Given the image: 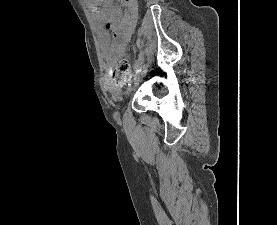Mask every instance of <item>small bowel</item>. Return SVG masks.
Wrapping results in <instances>:
<instances>
[{"label":"small bowel","mask_w":277,"mask_h":225,"mask_svg":"<svg viewBox=\"0 0 277 225\" xmlns=\"http://www.w3.org/2000/svg\"><path fill=\"white\" fill-rule=\"evenodd\" d=\"M123 6L128 8L125 18L119 8L111 4L90 3L92 17L99 31V38L104 56L112 60L117 53H121L129 43L137 17V0H122ZM113 32V40L110 32ZM105 87L114 97H119L121 88L114 82L110 70L105 76Z\"/></svg>","instance_id":"small-bowel-1"}]
</instances>
